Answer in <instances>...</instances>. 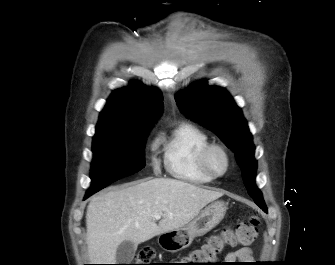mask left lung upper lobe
Segmentation results:
<instances>
[{
  "label": "left lung upper lobe",
  "mask_w": 335,
  "mask_h": 265,
  "mask_svg": "<svg viewBox=\"0 0 335 265\" xmlns=\"http://www.w3.org/2000/svg\"><path fill=\"white\" fill-rule=\"evenodd\" d=\"M175 100L185 115L212 130L235 153L248 194L267 212L261 191L255 184L257 162L252 135L230 94L221 87H210L201 81L176 95Z\"/></svg>",
  "instance_id": "5c2ea615"
}]
</instances>
